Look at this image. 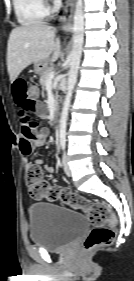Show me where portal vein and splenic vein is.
I'll list each match as a JSON object with an SVG mask.
<instances>
[{
  "label": "portal vein and splenic vein",
  "instance_id": "1",
  "mask_svg": "<svg viewBox=\"0 0 134 281\" xmlns=\"http://www.w3.org/2000/svg\"><path fill=\"white\" fill-rule=\"evenodd\" d=\"M55 77V72H50L48 75L47 82H51Z\"/></svg>",
  "mask_w": 134,
  "mask_h": 281
}]
</instances>
